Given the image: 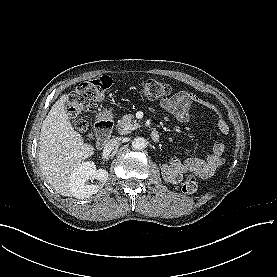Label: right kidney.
<instances>
[{
	"instance_id": "right-kidney-1",
	"label": "right kidney",
	"mask_w": 277,
	"mask_h": 277,
	"mask_svg": "<svg viewBox=\"0 0 277 277\" xmlns=\"http://www.w3.org/2000/svg\"><path fill=\"white\" fill-rule=\"evenodd\" d=\"M107 171L99 169L97 170L96 165L92 161H86L76 167L72 173V182L77 192L81 197H89L96 194L99 191V185L97 184H86L89 179H96L103 182L107 180Z\"/></svg>"
}]
</instances>
